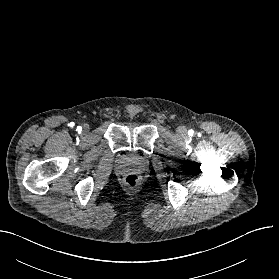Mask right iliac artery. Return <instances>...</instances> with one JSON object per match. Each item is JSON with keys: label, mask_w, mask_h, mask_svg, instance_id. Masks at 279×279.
I'll use <instances>...</instances> for the list:
<instances>
[{"label": "right iliac artery", "mask_w": 279, "mask_h": 279, "mask_svg": "<svg viewBox=\"0 0 279 279\" xmlns=\"http://www.w3.org/2000/svg\"><path fill=\"white\" fill-rule=\"evenodd\" d=\"M77 130H78V131H81V130H82V127L78 126V127H77Z\"/></svg>", "instance_id": "right-iliac-artery-1"}]
</instances>
